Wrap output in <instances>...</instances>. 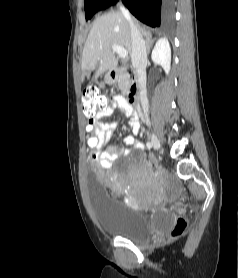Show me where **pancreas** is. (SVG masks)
<instances>
[{"label":"pancreas","mask_w":238,"mask_h":278,"mask_svg":"<svg viewBox=\"0 0 238 278\" xmlns=\"http://www.w3.org/2000/svg\"><path fill=\"white\" fill-rule=\"evenodd\" d=\"M130 85H131L130 75L128 73L121 75V77L118 80V87L121 90L126 91L129 89Z\"/></svg>","instance_id":"pancreas-1"}]
</instances>
